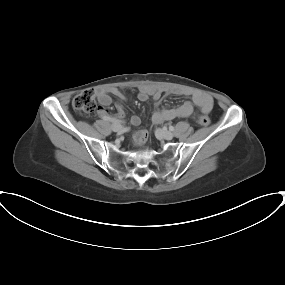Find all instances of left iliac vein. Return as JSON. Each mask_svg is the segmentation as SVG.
<instances>
[{"instance_id":"left-iliac-vein-1","label":"left iliac vein","mask_w":285,"mask_h":285,"mask_svg":"<svg viewBox=\"0 0 285 285\" xmlns=\"http://www.w3.org/2000/svg\"><path fill=\"white\" fill-rule=\"evenodd\" d=\"M156 133H157L160 137H162V138H164V139H166V140H172L173 137H174V135H173L172 132H170V131H168V130H164V129H157V130H156Z\"/></svg>"}]
</instances>
